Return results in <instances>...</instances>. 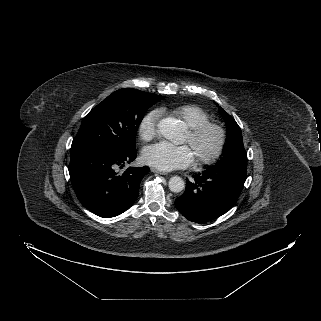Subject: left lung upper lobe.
Segmentation results:
<instances>
[{
    "label": "left lung upper lobe",
    "instance_id": "obj_1",
    "mask_svg": "<svg viewBox=\"0 0 321 321\" xmlns=\"http://www.w3.org/2000/svg\"><path fill=\"white\" fill-rule=\"evenodd\" d=\"M216 105L218 106L220 114L225 119L227 126V144L224 148L223 157L220 161H227L238 158L247 159V153L244 148L240 127L232 116L225 112L224 109L217 103Z\"/></svg>",
    "mask_w": 321,
    "mask_h": 321
}]
</instances>
